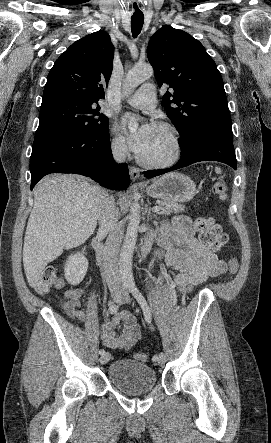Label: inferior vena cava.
Masks as SVG:
<instances>
[{"mask_svg": "<svg viewBox=\"0 0 271 443\" xmlns=\"http://www.w3.org/2000/svg\"><path fill=\"white\" fill-rule=\"evenodd\" d=\"M112 154L116 162H124L128 148L126 142L117 140L112 144ZM99 231H108L102 253V267L106 277L111 296H126V290L122 284L118 269V253L123 239V227L118 222V210H116L113 196L103 192L101 212L99 214Z\"/></svg>", "mask_w": 271, "mask_h": 443, "instance_id": "obj_1", "label": "inferior vena cava"}]
</instances>
